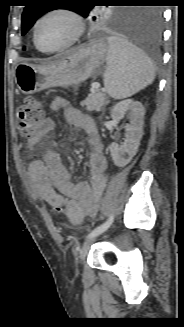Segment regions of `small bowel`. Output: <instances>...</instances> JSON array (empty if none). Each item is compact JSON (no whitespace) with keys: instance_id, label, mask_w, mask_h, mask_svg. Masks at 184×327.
<instances>
[{"instance_id":"obj_1","label":"small bowel","mask_w":184,"mask_h":327,"mask_svg":"<svg viewBox=\"0 0 184 327\" xmlns=\"http://www.w3.org/2000/svg\"><path fill=\"white\" fill-rule=\"evenodd\" d=\"M53 111H64L68 122L83 129L87 135L91 153L89 158L90 176L88 181L74 182L63 165L59 154L47 151L40 160H34L28 167V177L32 188L48 204L56 203L72 223H79L86 215L87 209H96V204L106 186L105 171L107 160L104 144L94 122L76 109L69 102L57 97L51 101ZM56 127L53 118H45L29 135L27 143L30 148L38 145L40 140ZM77 163L75 160L72 162Z\"/></svg>"}]
</instances>
